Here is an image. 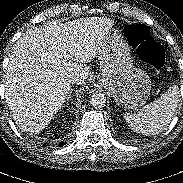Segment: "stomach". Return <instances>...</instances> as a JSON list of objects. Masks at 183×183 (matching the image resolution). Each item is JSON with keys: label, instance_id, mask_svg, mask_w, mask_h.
<instances>
[{"label": "stomach", "instance_id": "0dacf381", "mask_svg": "<svg viewBox=\"0 0 183 183\" xmlns=\"http://www.w3.org/2000/svg\"><path fill=\"white\" fill-rule=\"evenodd\" d=\"M99 81L125 109L146 103L151 81L146 71L133 66L130 46L117 28H111L99 52Z\"/></svg>", "mask_w": 183, "mask_h": 183}]
</instances>
